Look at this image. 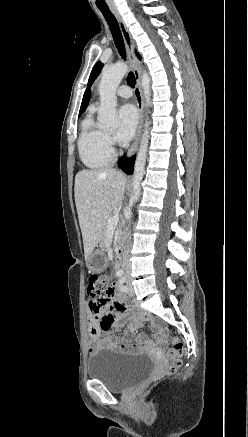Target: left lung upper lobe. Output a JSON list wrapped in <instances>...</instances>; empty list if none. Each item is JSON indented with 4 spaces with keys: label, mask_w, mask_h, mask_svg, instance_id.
<instances>
[{
    "label": "left lung upper lobe",
    "mask_w": 248,
    "mask_h": 437,
    "mask_svg": "<svg viewBox=\"0 0 248 437\" xmlns=\"http://www.w3.org/2000/svg\"><path fill=\"white\" fill-rule=\"evenodd\" d=\"M102 67H103V64L100 61L95 64V66H94V68H93V70L91 72L89 81H88L87 89L92 85L93 81L97 78V76L99 75Z\"/></svg>",
    "instance_id": "1"
}]
</instances>
